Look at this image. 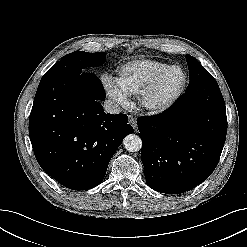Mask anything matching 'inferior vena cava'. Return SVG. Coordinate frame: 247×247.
<instances>
[{
    "instance_id": "inferior-vena-cava-1",
    "label": "inferior vena cava",
    "mask_w": 247,
    "mask_h": 247,
    "mask_svg": "<svg viewBox=\"0 0 247 247\" xmlns=\"http://www.w3.org/2000/svg\"><path fill=\"white\" fill-rule=\"evenodd\" d=\"M103 107L107 113L119 114L121 112V107L112 100H105Z\"/></svg>"
}]
</instances>
